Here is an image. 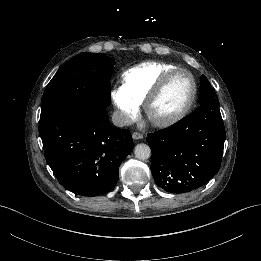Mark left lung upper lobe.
I'll list each match as a JSON object with an SVG mask.
<instances>
[{
	"label": "left lung upper lobe",
	"mask_w": 261,
	"mask_h": 261,
	"mask_svg": "<svg viewBox=\"0 0 261 261\" xmlns=\"http://www.w3.org/2000/svg\"><path fill=\"white\" fill-rule=\"evenodd\" d=\"M215 92L207 78L203 75L200 81L199 103L202 104L209 100H214Z\"/></svg>",
	"instance_id": "left-lung-upper-lobe-1"
}]
</instances>
